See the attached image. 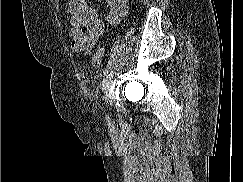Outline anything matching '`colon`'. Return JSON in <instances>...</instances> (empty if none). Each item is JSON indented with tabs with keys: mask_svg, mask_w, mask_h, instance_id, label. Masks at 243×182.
<instances>
[{
	"mask_svg": "<svg viewBox=\"0 0 243 182\" xmlns=\"http://www.w3.org/2000/svg\"><path fill=\"white\" fill-rule=\"evenodd\" d=\"M105 54L104 47H97L92 55L91 64L93 67H99Z\"/></svg>",
	"mask_w": 243,
	"mask_h": 182,
	"instance_id": "obj_1",
	"label": "colon"
}]
</instances>
